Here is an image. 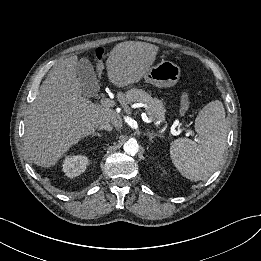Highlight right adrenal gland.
I'll use <instances>...</instances> for the list:
<instances>
[{"mask_svg": "<svg viewBox=\"0 0 261 261\" xmlns=\"http://www.w3.org/2000/svg\"><path fill=\"white\" fill-rule=\"evenodd\" d=\"M92 136L102 137V134H100V133H93Z\"/></svg>", "mask_w": 261, "mask_h": 261, "instance_id": "right-adrenal-gland-1", "label": "right adrenal gland"}]
</instances>
